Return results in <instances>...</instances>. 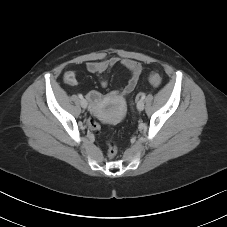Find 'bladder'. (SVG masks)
Instances as JSON below:
<instances>
[{
	"instance_id": "1",
	"label": "bladder",
	"mask_w": 227,
	"mask_h": 227,
	"mask_svg": "<svg viewBox=\"0 0 227 227\" xmlns=\"http://www.w3.org/2000/svg\"><path fill=\"white\" fill-rule=\"evenodd\" d=\"M103 117H104V119H105L106 121H108V122H110V123L115 122V121L117 120V117H116V116L109 115V114H107V115H105V116H103Z\"/></svg>"
}]
</instances>
